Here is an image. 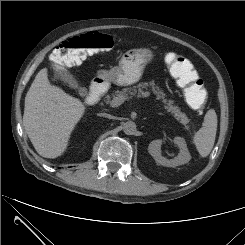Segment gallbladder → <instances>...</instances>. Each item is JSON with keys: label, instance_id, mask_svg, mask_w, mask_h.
I'll return each instance as SVG.
<instances>
[{"label": "gallbladder", "instance_id": "gallbladder-1", "mask_svg": "<svg viewBox=\"0 0 245 245\" xmlns=\"http://www.w3.org/2000/svg\"><path fill=\"white\" fill-rule=\"evenodd\" d=\"M55 77L64 82L70 88L78 91L80 95H85V88L78 83L76 78L68 70L63 68L61 70L56 71Z\"/></svg>", "mask_w": 245, "mask_h": 245}]
</instances>
